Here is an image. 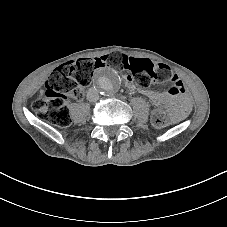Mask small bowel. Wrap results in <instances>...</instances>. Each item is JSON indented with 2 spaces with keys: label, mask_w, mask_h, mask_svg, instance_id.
<instances>
[{
  "label": "small bowel",
  "mask_w": 227,
  "mask_h": 227,
  "mask_svg": "<svg viewBox=\"0 0 227 227\" xmlns=\"http://www.w3.org/2000/svg\"><path fill=\"white\" fill-rule=\"evenodd\" d=\"M141 92L147 96L157 108H162L167 105L165 96L157 91L141 89ZM189 111V103L186 98H182L179 108L175 109L178 116H183Z\"/></svg>",
  "instance_id": "obj_1"
}]
</instances>
